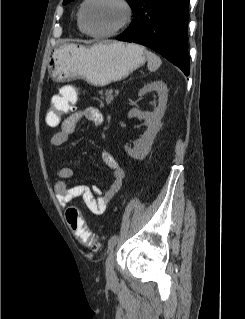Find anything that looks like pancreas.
Here are the masks:
<instances>
[{
  "label": "pancreas",
  "mask_w": 245,
  "mask_h": 319,
  "mask_svg": "<svg viewBox=\"0 0 245 319\" xmlns=\"http://www.w3.org/2000/svg\"><path fill=\"white\" fill-rule=\"evenodd\" d=\"M101 95H103V92L101 93ZM104 97L106 99V102L108 104H110L114 100V98L116 97V94L114 95L113 91L111 89L110 90L106 89L104 92ZM104 97L102 96V98H104Z\"/></svg>",
  "instance_id": "pancreas-1"
}]
</instances>
